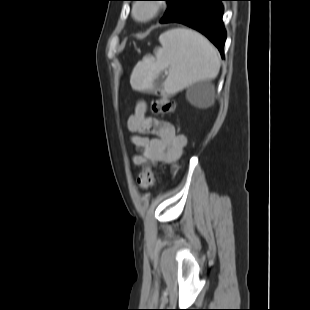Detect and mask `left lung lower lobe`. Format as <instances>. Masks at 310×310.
<instances>
[{
  "instance_id": "obj_1",
  "label": "left lung lower lobe",
  "mask_w": 310,
  "mask_h": 310,
  "mask_svg": "<svg viewBox=\"0 0 310 310\" xmlns=\"http://www.w3.org/2000/svg\"><path fill=\"white\" fill-rule=\"evenodd\" d=\"M226 0H186L172 23L191 27L205 35L224 55L226 32L223 27V6Z\"/></svg>"
}]
</instances>
